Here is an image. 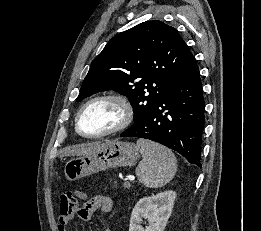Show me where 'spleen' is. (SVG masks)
<instances>
[{
  "mask_svg": "<svg viewBox=\"0 0 261 231\" xmlns=\"http://www.w3.org/2000/svg\"><path fill=\"white\" fill-rule=\"evenodd\" d=\"M137 146L143 157L136 168L139 182L148 188H159L170 182L177 171L172 151L145 139H138Z\"/></svg>",
  "mask_w": 261,
  "mask_h": 231,
  "instance_id": "obj_1",
  "label": "spleen"
}]
</instances>
